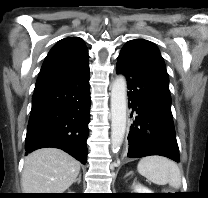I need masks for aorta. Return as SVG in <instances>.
<instances>
[{"label":"aorta","mask_w":208,"mask_h":198,"mask_svg":"<svg viewBox=\"0 0 208 198\" xmlns=\"http://www.w3.org/2000/svg\"><path fill=\"white\" fill-rule=\"evenodd\" d=\"M127 84L124 76L114 80L111 89V148L118 151L126 130Z\"/></svg>","instance_id":"obj_1"}]
</instances>
